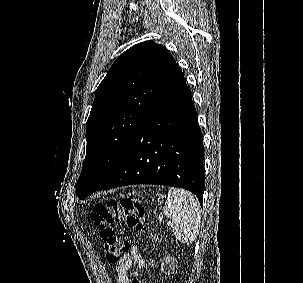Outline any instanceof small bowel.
I'll list each match as a JSON object with an SVG mask.
<instances>
[{"mask_svg": "<svg viewBox=\"0 0 303 283\" xmlns=\"http://www.w3.org/2000/svg\"><path fill=\"white\" fill-rule=\"evenodd\" d=\"M136 255V248L133 249L131 254L124 255L118 262L116 266V283H129L128 270L132 265L133 258ZM141 265V261H138Z\"/></svg>", "mask_w": 303, "mask_h": 283, "instance_id": "obj_1", "label": "small bowel"}]
</instances>
